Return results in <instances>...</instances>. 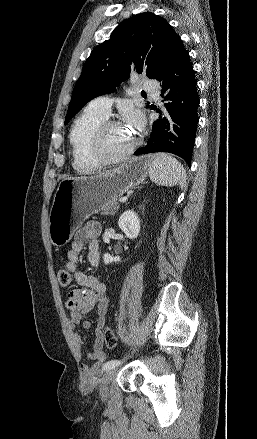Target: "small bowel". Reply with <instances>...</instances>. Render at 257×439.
Segmentation results:
<instances>
[{
    "label": "small bowel",
    "instance_id": "small-bowel-1",
    "mask_svg": "<svg viewBox=\"0 0 257 439\" xmlns=\"http://www.w3.org/2000/svg\"><path fill=\"white\" fill-rule=\"evenodd\" d=\"M100 232V224L94 221L88 222L80 228L74 235L71 248L67 252V262L65 264V270L73 274L79 286V288L73 289L68 293L66 301V307L70 311L72 337L78 349H81L83 346L81 331L91 327V322L85 319V315L95 311L98 316L93 349L87 353V358L92 362V365H84L82 368L84 381L90 379L96 373L98 366L106 359L102 337V329L105 326V316L109 304L106 286L95 276L80 272L77 268L79 255L86 243L88 244L87 259L90 265L93 268L99 266L98 237Z\"/></svg>",
    "mask_w": 257,
    "mask_h": 439
}]
</instances>
